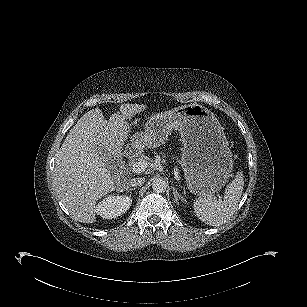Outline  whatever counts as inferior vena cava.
I'll return each mask as SVG.
<instances>
[{
  "label": "inferior vena cava",
  "instance_id": "obj_1",
  "mask_svg": "<svg viewBox=\"0 0 307 307\" xmlns=\"http://www.w3.org/2000/svg\"><path fill=\"white\" fill-rule=\"evenodd\" d=\"M145 182V178H133L130 180L129 184L132 187L142 186Z\"/></svg>",
  "mask_w": 307,
  "mask_h": 307
}]
</instances>
